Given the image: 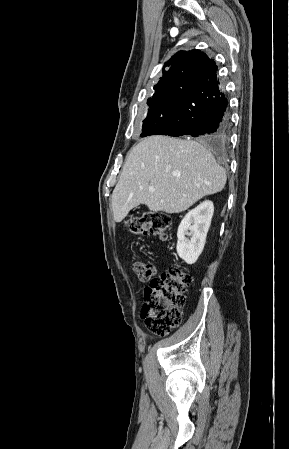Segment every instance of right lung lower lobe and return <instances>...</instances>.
Returning <instances> with one entry per match:
<instances>
[{"label": "right lung lower lobe", "mask_w": 289, "mask_h": 449, "mask_svg": "<svg viewBox=\"0 0 289 449\" xmlns=\"http://www.w3.org/2000/svg\"><path fill=\"white\" fill-rule=\"evenodd\" d=\"M176 116L153 135L224 140L229 130L228 101L216 74L207 80L177 81L170 92Z\"/></svg>", "instance_id": "right-lung-lower-lobe-1"}]
</instances>
